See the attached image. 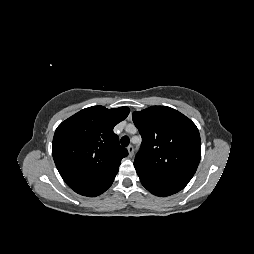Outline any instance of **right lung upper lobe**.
Instances as JSON below:
<instances>
[{
    "instance_id": "1",
    "label": "right lung upper lobe",
    "mask_w": 254,
    "mask_h": 254,
    "mask_svg": "<svg viewBox=\"0 0 254 254\" xmlns=\"http://www.w3.org/2000/svg\"><path fill=\"white\" fill-rule=\"evenodd\" d=\"M128 107L85 108L62 122L53 138V159L69 187L98 181L118 172L127 149L113 132L124 120Z\"/></svg>"
}]
</instances>
